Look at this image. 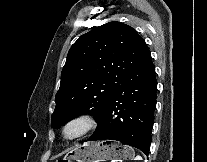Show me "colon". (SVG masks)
Returning <instances> with one entry per match:
<instances>
[{
  "instance_id": "colon-1",
  "label": "colon",
  "mask_w": 207,
  "mask_h": 162,
  "mask_svg": "<svg viewBox=\"0 0 207 162\" xmlns=\"http://www.w3.org/2000/svg\"><path fill=\"white\" fill-rule=\"evenodd\" d=\"M58 162H70L69 160H60Z\"/></svg>"
}]
</instances>
